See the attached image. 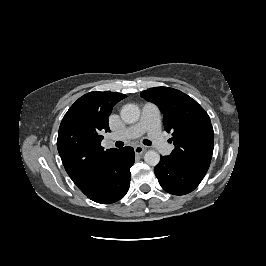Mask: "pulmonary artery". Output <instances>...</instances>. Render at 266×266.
I'll return each instance as SVG.
<instances>
[{"instance_id":"pulmonary-artery-1","label":"pulmonary artery","mask_w":266,"mask_h":266,"mask_svg":"<svg viewBox=\"0 0 266 266\" xmlns=\"http://www.w3.org/2000/svg\"><path fill=\"white\" fill-rule=\"evenodd\" d=\"M147 132L154 147L162 152L169 153L173 146L164 138L161 130V116L158 107L152 103L143 106L142 115L138 123L127 127L121 132L114 133L112 138L131 139Z\"/></svg>"}]
</instances>
